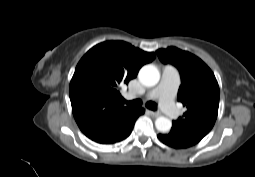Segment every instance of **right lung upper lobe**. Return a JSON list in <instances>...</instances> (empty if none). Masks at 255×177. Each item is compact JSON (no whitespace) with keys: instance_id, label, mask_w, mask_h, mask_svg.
Here are the masks:
<instances>
[{"instance_id":"cb5924a9","label":"right lung upper lobe","mask_w":255,"mask_h":177,"mask_svg":"<svg viewBox=\"0 0 255 177\" xmlns=\"http://www.w3.org/2000/svg\"><path fill=\"white\" fill-rule=\"evenodd\" d=\"M155 57L124 41H106L91 48L79 61L69 87L72 112L81 131L128 108L120 86Z\"/></svg>"}]
</instances>
